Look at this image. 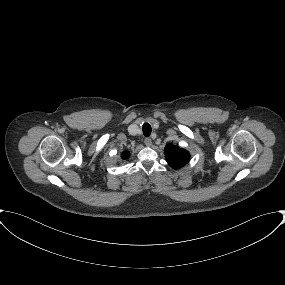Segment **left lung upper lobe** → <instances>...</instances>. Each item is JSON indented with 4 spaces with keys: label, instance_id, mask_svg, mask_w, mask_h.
<instances>
[{
    "label": "left lung upper lobe",
    "instance_id": "5c2ea615",
    "mask_svg": "<svg viewBox=\"0 0 285 285\" xmlns=\"http://www.w3.org/2000/svg\"><path fill=\"white\" fill-rule=\"evenodd\" d=\"M164 153L168 164L175 169L183 167L190 160L189 152L175 145H167Z\"/></svg>",
    "mask_w": 285,
    "mask_h": 285
}]
</instances>
